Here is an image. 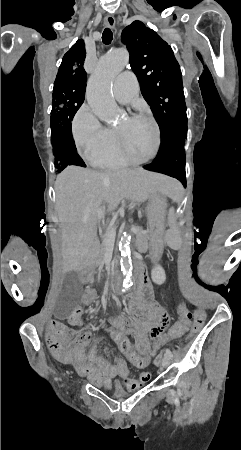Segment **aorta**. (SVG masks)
<instances>
[{
    "instance_id": "762f6f07",
    "label": "aorta",
    "mask_w": 241,
    "mask_h": 450,
    "mask_svg": "<svg viewBox=\"0 0 241 450\" xmlns=\"http://www.w3.org/2000/svg\"><path fill=\"white\" fill-rule=\"evenodd\" d=\"M128 62L129 54L126 49L110 51L99 60L88 81L87 102L94 114L108 124H112L120 114L119 107L112 96L111 85ZM130 241L131 236L123 234L119 243L121 271L125 277L124 284L127 285L131 283L133 270Z\"/></svg>"
}]
</instances>
